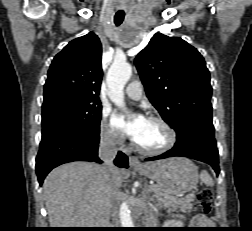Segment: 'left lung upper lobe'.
Masks as SVG:
<instances>
[{"instance_id":"1","label":"left lung upper lobe","mask_w":252,"mask_h":231,"mask_svg":"<svg viewBox=\"0 0 252 231\" xmlns=\"http://www.w3.org/2000/svg\"><path fill=\"white\" fill-rule=\"evenodd\" d=\"M135 65L147 97L172 128L191 117L212 118L209 71L202 55L186 41L157 33Z\"/></svg>"}]
</instances>
